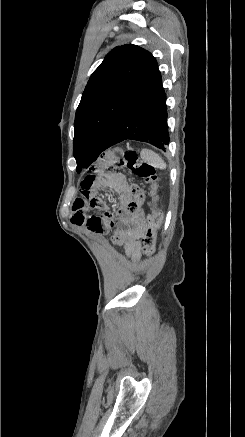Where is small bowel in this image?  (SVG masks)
Masks as SVG:
<instances>
[{
  "instance_id": "1",
  "label": "small bowel",
  "mask_w": 245,
  "mask_h": 437,
  "mask_svg": "<svg viewBox=\"0 0 245 437\" xmlns=\"http://www.w3.org/2000/svg\"><path fill=\"white\" fill-rule=\"evenodd\" d=\"M100 159L96 166H91L86 171L85 178L81 182L82 197H78L72 204V221L81 229H86L93 233H101L104 228L112 230V242L117 246H122L125 255L132 261H138L141 256L140 240L145 233L146 221L141 209L131 210L126 202L130 194V188L121 176H115L105 180L106 184L113 188L119 197V205L116 216L105 212L103 216L90 215L87 212L86 198L93 209L103 206L102 198L93 195L96 180L100 175H105L110 171L114 162V150H101Z\"/></svg>"
}]
</instances>
